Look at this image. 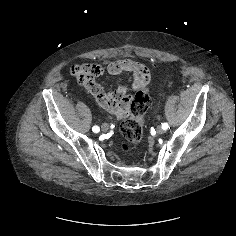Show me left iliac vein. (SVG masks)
I'll return each instance as SVG.
<instances>
[{"label": "left iliac vein", "mask_w": 236, "mask_h": 236, "mask_svg": "<svg viewBox=\"0 0 236 236\" xmlns=\"http://www.w3.org/2000/svg\"><path fill=\"white\" fill-rule=\"evenodd\" d=\"M156 131H157V133H162L163 132V128H161V127H158L157 129H156Z\"/></svg>", "instance_id": "4c4485c4"}]
</instances>
